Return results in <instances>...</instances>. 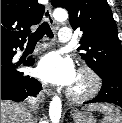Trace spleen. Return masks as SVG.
I'll list each match as a JSON object with an SVG mask.
<instances>
[{
    "mask_svg": "<svg viewBox=\"0 0 122 123\" xmlns=\"http://www.w3.org/2000/svg\"><path fill=\"white\" fill-rule=\"evenodd\" d=\"M88 111H99L104 114L103 123H122V113L110 104H90L85 107Z\"/></svg>",
    "mask_w": 122,
    "mask_h": 123,
    "instance_id": "obj_1",
    "label": "spleen"
}]
</instances>
